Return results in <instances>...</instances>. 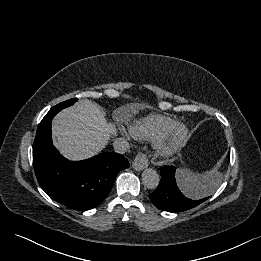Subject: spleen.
Wrapping results in <instances>:
<instances>
[{
    "instance_id": "1",
    "label": "spleen",
    "mask_w": 261,
    "mask_h": 261,
    "mask_svg": "<svg viewBox=\"0 0 261 261\" xmlns=\"http://www.w3.org/2000/svg\"><path fill=\"white\" fill-rule=\"evenodd\" d=\"M185 173L190 176L189 172L185 171ZM192 178L194 179V185L204 189V192L201 194L191 195V197L195 199H200L201 197L210 195L219 185V180L214 174H206L204 176L197 177L193 176Z\"/></svg>"
}]
</instances>
